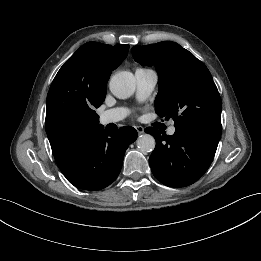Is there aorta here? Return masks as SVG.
Segmentation results:
<instances>
[{"label":"aorta","instance_id":"aorta-1","mask_svg":"<svg viewBox=\"0 0 261 261\" xmlns=\"http://www.w3.org/2000/svg\"><path fill=\"white\" fill-rule=\"evenodd\" d=\"M135 86L133 74L126 71L116 73L109 82L110 91L119 99H126L133 95ZM155 145V139L150 134H142L137 139V147L141 152H152Z\"/></svg>","mask_w":261,"mask_h":261}]
</instances>
